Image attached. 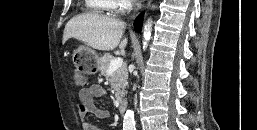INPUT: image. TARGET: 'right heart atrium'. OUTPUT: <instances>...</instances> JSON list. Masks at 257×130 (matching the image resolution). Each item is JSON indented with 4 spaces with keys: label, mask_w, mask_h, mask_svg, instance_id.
Listing matches in <instances>:
<instances>
[{
    "label": "right heart atrium",
    "mask_w": 257,
    "mask_h": 130,
    "mask_svg": "<svg viewBox=\"0 0 257 130\" xmlns=\"http://www.w3.org/2000/svg\"><path fill=\"white\" fill-rule=\"evenodd\" d=\"M134 0H116L119 9H127L133 4Z\"/></svg>",
    "instance_id": "d8ad5b80"
}]
</instances>
